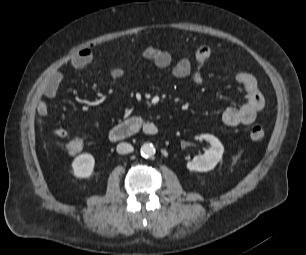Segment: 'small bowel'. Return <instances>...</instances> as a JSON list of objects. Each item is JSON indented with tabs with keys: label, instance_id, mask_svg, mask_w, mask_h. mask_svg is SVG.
I'll use <instances>...</instances> for the list:
<instances>
[{
	"label": "small bowel",
	"instance_id": "obj_1",
	"mask_svg": "<svg viewBox=\"0 0 306 255\" xmlns=\"http://www.w3.org/2000/svg\"><path fill=\"white\" fill-rule=\"evenodd\" d=\"M142 55L155 67L168 69L174 78L187 79L195 85H200L204 82V77L199 71L193 69V61L199 65L207 63L213 56V49L207 45L201 46L195 51L193 59L182 57L174 64L168 51L153 46L146 47ZM92 57V51L89 48H83L71 58L68 64L73 68H83L91 62ZM126 71L125 66L114 67L109 71V77L112 80H118L126 74ZM62 81L63 74L56 71L50 74L41 84L36 101L37 113L40 116L44 117L48 114V104L44 98L55 97ZM235 81L242 87L246 101L239 107L226 108L222 113V121L230 127L250 125L263 109L264 97L259 90L256 78L251 73L240 72L236 74ZM54 134L59 138L68 136L67 130L62 127H56Z\"/></svg>",
	"mask_w": 306,
	"mask_h": 255
}]
</instances>
